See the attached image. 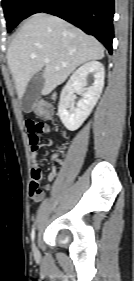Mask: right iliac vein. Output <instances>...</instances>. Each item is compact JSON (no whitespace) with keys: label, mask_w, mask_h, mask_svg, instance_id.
<instances>
[{"label":"right iliac vein","mask_w":134,"mask_h":281,"mask_svg":"<svg viewBox=\"0 0 134 281\" xmlns=\"http://www.w3.org/2000/svg\"><path fill=\"white\" fill-rule=\"evenodd\" d=\"M33 252H34L35 257H39V251H38V248L35 244L33 245Z\"/></svg>","instance_id":"1"}]
</instances>
